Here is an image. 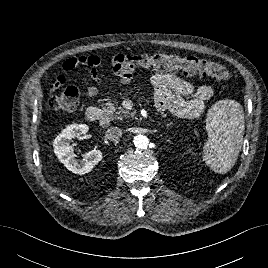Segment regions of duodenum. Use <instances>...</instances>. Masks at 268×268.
<instances>
[{
    "label": "duodenum",
    "instance_id": "1",
    "mask_svg": "<svg viewBox=\"0 0 268 268\" xmlns=\"http://www.w3.org/2000/svg\"><path fill=\"white\" fill-rule=\"evenodd\" d=\"M87 116L90 120H94V121H102L104 125H106V121L105 118L107 116V114L94 106H91L87 109Z\"/></svg>",
    "mask_w": 268,
    "mask_h": 268
}]
</instances>
